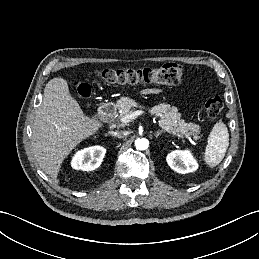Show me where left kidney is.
Segmentation results:
<instances>
[{"mask_svg": "<svg viewBox=\"0 0 259 259\" xmlns=\"http://www.w3.org/2000/svg\"><path fill=\"white\" fill-rule=\"evenodd\" d=\"M166 160L170 168L177 173L186 174L193 172L198 168V163L189 150L172 151L167 155Z\"/></svg>", "mask_w": 259, "mask_h": 259, "instance_id": "left-kidney-1", "label": "left kidney"}]
</instances>
